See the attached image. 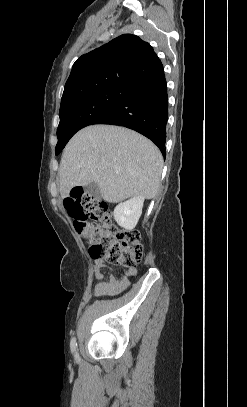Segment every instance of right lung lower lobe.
<instances>
[{
  "label": "right lung lower lobe",
  "instance_id": "1",
  "mask_svg": "<svg viewBox=\"0 0 247 407\" xmlns=\"http://www.w3.org/2000/svg\"><path fill=\"white\" fill-rule=\"evenodd\" d=\"M168 94L164 70L137 86L117 106L93 124H113L133 129L149 138L165 157Z\"/></svg>",
  "mask_w": 247,
  "mask_h": 407
}]
</instances>
